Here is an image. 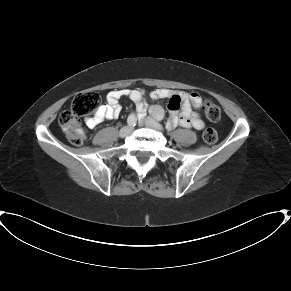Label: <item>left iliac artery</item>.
Here are the masks:
<instances>
[{"mask_svg":"<svg viewBox=\"0 0 291 291\" xmlns=\"http://www.w3.org/2000/svg\"><path fill=\"white\" fill-rule=\"evenodd\" d=\"M156 119H157L158 121L161 120L160 115H157V116H156Z\"/></svg>","mask_w":291,"mask_h":291,"instance_id":"44dca946","label":"left iliac artery"}]
</instances>
